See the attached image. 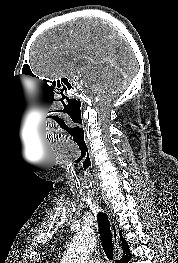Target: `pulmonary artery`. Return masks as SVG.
Instances as JSON below:
<instances>
[{"mask_svg": "<svg viewBox=\"0 0 178 263\" xmlns=\"http://www.w3.org/2000/svg\"><path fill=\"white\" fill-rule=\"evenodd\" d=\"M88 263H104L100 257H92L88 260Z\"/></svg>", "mask_w": 178, "mask_h": 263, "instance_id": "pulmonary-artery-1", "label": "pulmonary artery"}]
</instances>
